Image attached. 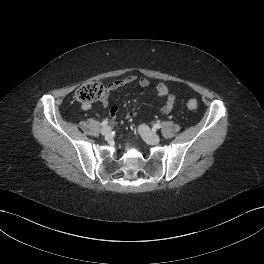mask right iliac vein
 I'll return each instance as SVG.
<instances>
[{"instance_id":"obj_1","label":"right iliac vein","mask_w":264,"mask_h":264,"mask_svg":"<svg viewBox=\"0 0 264 264\" xmlns=\"http://www.w3.org/2000/svg\"><path fill=\"white\" fill-rule=\"evenodd\" d=\"M111 133V128L109 126H105L101 129V134L104 136H108Z\"/></svg>"}]
</instances>
